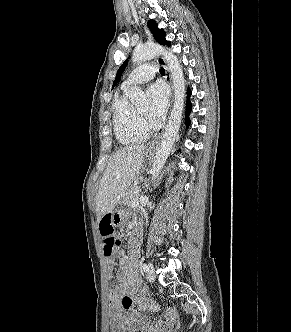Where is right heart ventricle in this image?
Returning a JSON list of instances; mask_svg holds the SVG:
<instances>
[{
  "label": "right heart ventricle",
  "instance_id": "obj_1",
  "mask_svg": "<svg viewBox=\"0 0 291 332\" xmlns=\"http://www.w3.org/2000/svg\"><path fill=\"white\" fill-rule=\"evenodd\" d=\"M127 89L117 96L112 105L113 127L117 140L122 144H134L144 141L147 132L136 115L135 107L127 98Z\"/></svg>",
  "mask_w": 291,
  "mask_h": 332
}]
</instances>
